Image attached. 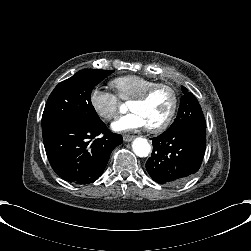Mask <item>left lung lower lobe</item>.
I'll return each mask as SVG.
<instances>
[{"instance_id":"left-lung-lower-lobe-1","label":"left lung lower lobe","mask_w":251,"mask_h":251,"mask_svg":"<svg viewBox=\"0 0 251 251\" xmlns=\"http://www.w3.org/2000/svg\"><path fill=\"white\" fill-rule=\"evenodd\" d=\"M146 169L159 184L177 185L196 173L206 148V127L189 125L152 138Z\"/></svg>"}]
</instances>
